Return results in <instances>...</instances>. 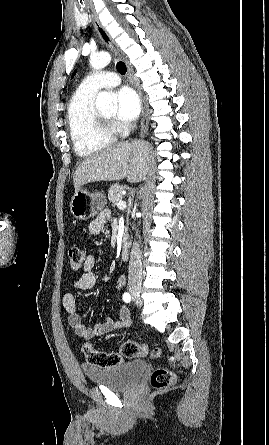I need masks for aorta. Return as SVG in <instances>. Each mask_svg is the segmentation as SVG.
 <instances>
[{"label": "aorta", "instance_id": "aorta-1", "mask_svg": "<svg viewBox=\"0 0 269 445\" xmlns=\"http://www.w3.org/2000/svg\"><path fill=\"white\" fill-rule=\"evenodd\" d=\"M111 61V55L107 52H101L91 55L90 64L94 69H102ZM96 108L100 110H114L117 107L116 97L106 91H102L97 95Z\"/></svg>", "mask_w": 269, "mask_h": 445}]
</instances>
